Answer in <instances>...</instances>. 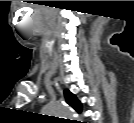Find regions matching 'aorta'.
I'll return each mask as SVG.
<instances>
[{
	"label": "aorta",
	"instance_id": "obj_1",
	"mask_svg": "<svg viewBox=\"0 0 134 123\" xmlns=\"http://www.w3.org/2000/svg\"><path fill=\"white\" fill-rule=\"evenodd\" d=\"M43 113L48 116H54L59 118H77V114L72 108L60 103H52L45 105L43 107Z\"/></svg>",
	"mask_w": 134,
	"mask_h": 123
}]
</instances>
